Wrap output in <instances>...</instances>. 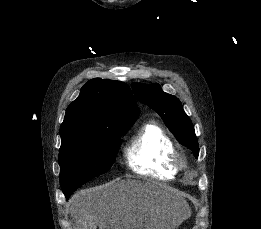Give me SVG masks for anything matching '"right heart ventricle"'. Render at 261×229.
Instances as JSON below:
<instances>
[{"instance_id":"obj_1","label":"right heart ventricle","mask_w":261,"mask_h":229,"mask_svg":"<svg viewBox=\"0 0 261 229\" xmlns=\"http://www.w3.org/2000/svg\"><path fill=\"white\" fill-rule=\"evenodd\" d=\"M175 150L164 128L155 121H148L130 140L125 158L135 172L173 175L177 171L172 164Z\"/></svg>"}]
</instances>
